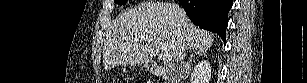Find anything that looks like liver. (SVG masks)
<instances>
[{
    "mask_svg": "<svg viewBox=\"0 0 307 83\" xmlns=\"http://www.w3.org/2000/svg\"><path fill=\"white\" fill-rule=\"evenodd\" d=\"M158 41L171 53L173 61L179 62L184 45L193 50L208 49L214 36L194 26L178 5L144 3L122 12L113 21L104 42V66L110 69L119 64L151 62L160 50Z\"/></svg>",
    "mask_w": 307,
    "mask_h": 83,
    "instance_id": "liver-1",
    "label": "liver"
}]
</instances>
